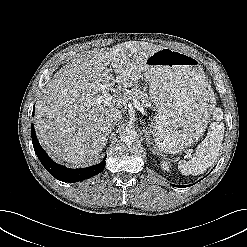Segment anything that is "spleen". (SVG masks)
I'll list each match as a JSON object with an SVG mask.
<instances>
[{
	"label": "spleen",
	"instance_id": "3e777b00",
	"mask_svg": "<svg viewBox=\"0 0 247 247\" xmlns=\"http://www.w3.org/2000/svg\"><path fill=\"white\" fill-rule=\"evenodd\" d=\"M213 117L216 120L209 126L206 138L197 146L195 155L188 161H180L178 168L183 175H200L212 166L219 154L224 137L223 112L215 108Z\"/></svg>",
	"mask_w": 247,
	"mask_h": 247
}]
</instances>
